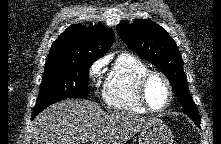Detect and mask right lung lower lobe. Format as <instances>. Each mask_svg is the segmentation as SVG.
I'll return each instance as SVG.
<instances>
[{
    "mask_svg": "<svg viewBox=\"0 0 221 144\" xmlns=\"http://www.w3.org/2000/svg\"><path fill=\"white\" fill-rule=\"evenodd\" d=\"M36 115H37V114H33V115H32V119H33L34 117H36Z\"/></svg>",
    "mask_w": 221,
    "mask_h": 144,
    "instance_id": "right-lung-lower-lobe-1",
    "label": "right lung lower lobe"
}]
</instances>
